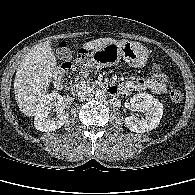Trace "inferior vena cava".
I'll return each instance as SVG.
<instances>
[{
	"mask_svg": "<svg viewBox=\"0 0 195 195\" xmlns=\"http://www.w3.org/2000/svg\"><path fill=\"white\" fill-rule=\"evenodd\" d=\"M78 99L79 101H88L91 100L93 98V92L87 89H83L81 91L78 92Z\"/></svg>",
	"mask_w": 195,
	"mask_h": 195,
	"instance_id": "inferior-vena-cava-1",
	"label": "inferior vena cava"
}]
</instances>
